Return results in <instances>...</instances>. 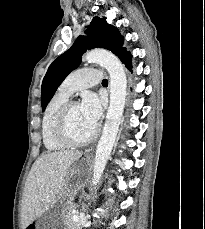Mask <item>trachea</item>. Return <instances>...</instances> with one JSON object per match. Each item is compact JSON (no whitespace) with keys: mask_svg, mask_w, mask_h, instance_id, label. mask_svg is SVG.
Segmentation results:
<instances>
[{"mask_svg":"<svg viewBox=\"0 0 205 229\" xmlns=\"http://www.w3.org/2000/svg\"><path fill=\"white\" fill-rule=\"evenodd\" d=\"M102 84H108V80H107V79H104V80L102 81Z\"/></svg>","mask_w":205,"mask_h":229,"instance_id":"3493384b","label":"trachea"}]
</instances>
